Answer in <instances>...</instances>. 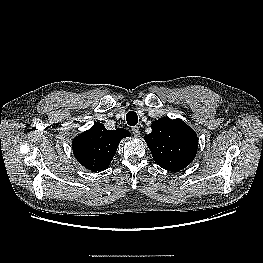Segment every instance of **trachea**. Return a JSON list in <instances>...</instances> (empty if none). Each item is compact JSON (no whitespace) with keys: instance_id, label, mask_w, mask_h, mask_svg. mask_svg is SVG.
<instances>
[{"instance_id":"obj_1","label":"trachea","mask_w":263,"mask_h":263,"mask_svg":"<svg viewBox=\"0 0 263 263\" xmlns=\"http://www.w3.org/2000/svg\"><path fill=\"white\" fill-rule=\"evenodd\" d=\"M126 121L129 126H135L138 122V115L134 111H129L126 114Z\"/></svg>"}]
</instances>
